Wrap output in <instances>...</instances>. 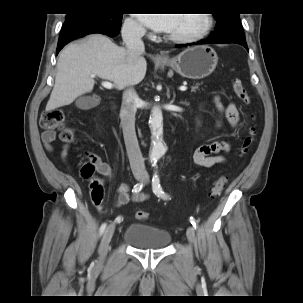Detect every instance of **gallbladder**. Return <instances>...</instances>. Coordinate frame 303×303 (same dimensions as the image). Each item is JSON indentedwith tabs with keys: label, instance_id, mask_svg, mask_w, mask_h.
I'll return each mask as SVG.
<instances>
[{
	"label": "gallbladder",
	"instance_id": "1",
	"mask_svg": "<svg viewBox=\"0 0 303 303\" xmlns=\"http://www.w3.org/2000/svg\"><path fill=\"white\" fill-rule=\"evenodd\" d=\"M91 101L92 98L91 96H80L76 99L75 105L79 108V109H88L91 107Z\"/></svg>",
	"mask_w": 303,
	"mask_h": 303
}]
</instances>
